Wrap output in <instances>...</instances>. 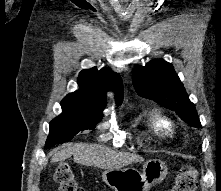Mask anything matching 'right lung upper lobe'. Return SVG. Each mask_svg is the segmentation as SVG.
<instances>
[{"mask_svg":"<svg viewBox=\"0 0 221 191\" xmlns=\"http://www.w3.org/2000/svg\"><path fill=\"white\" fill-rule=\"evenodd\" d=\"M79 90L68 94L62 101V109L101 113L106 106L105 93L113 90L117 105L123 98V84L119 74L108 68L96 67L82 70L78 76Z\"/></svg>","mask_w":221,"mask_h":191,"instance_id":"1","label":"right lung upper lobe"}]
</instances>
